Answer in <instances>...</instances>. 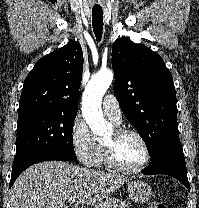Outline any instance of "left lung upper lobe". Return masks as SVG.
I'll return each mask as SVG.
<instances>
[{"label": "left lung upper lobe", "mask_w": 199, "mask_h": 208, "mask_svg": "<svg viewBox=\"0 0 199 208\" xmlns=\"http://www.w3.org/2000/svg\"><path fill=\"white\" fill-rule=\"evenodd\" d=\"M112 67L114 94L153 159L165 144L179 138L172 75L160 55L126 37L113 44Z\"/></svg>", "instance_id": "5c2ea615"}]
</instances>
